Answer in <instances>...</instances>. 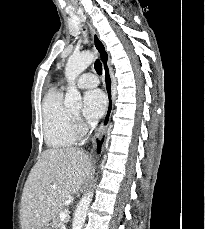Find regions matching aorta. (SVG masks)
<instances>
[{
  "label": "aorta",
  "instance_id": "1",
  "mask_svg": "<svg viewBox=\"0 0 205 229\" xmlns=\"http://www.w3.org/2000/svg\"><path fill=\"white\" fill-rule=\"evenodd\" d=\"M93 60L94 54L89 51L69 57L65 67V76L69 83L64 100L66 107L81 109L82 97L75 86V80ZM92 197L93 190L81 198L73 218L72 229H82Z\"/></svg>",
  "mask_w": 205,
  "mask_h": 229
}]
</instances>
